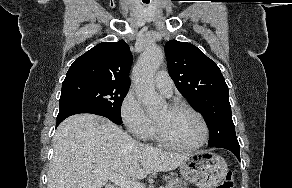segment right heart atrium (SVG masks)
I'll return each mask as SVG.
<instances>
[{
  "label": "right heart atrium",
  "mask_w": 292,
  "mask_h": 188,
  "mask_svg": "<svg viewBox=\"0 0 292 188\" xmlns=\"http://www.w3.org/2000/svg\"><path fill=\"white\" fill-rule=\"evenodd\" d=\"M121 118L127 129L139 139L148 138L154 130L153 119L144 111L139 100L131 92L121 103Z\"/></svg>",
  "instance_id": "d8ad5b80"
}]
</instances>
